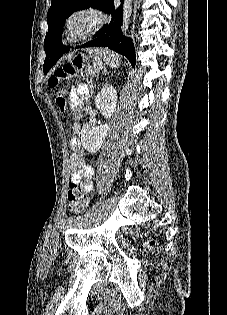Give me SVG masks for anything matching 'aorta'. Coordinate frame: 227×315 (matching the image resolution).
Segmentation results:
<instances>
[{
	"label": "aorta",
	"instance_id": "aorta-1",
	"mask_svg": "<svg viewBox=\"0 0 227 315\" xmlns=\"http://www.w3.org/2000/svg\"><path fill=\"white\" fill-rule=\"evenodd\" d=\"M132 3H133V0H124V3H123V19H122L121 30L124 35L127 34L128 29H129V24H130L131 15H132Z\"/></svg>",
	"mask_w": 227,
	"mask_h": 315
}]
</instances>
